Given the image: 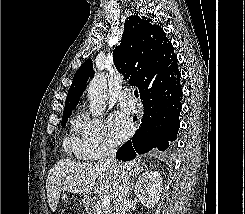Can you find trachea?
I'll use <instances>...</instances> for the list:
<instances>
[{"label":"trachea","mask_w":245,"mask_h":214,"mask_svg":"<svg viewBox=\"0 0 245 214\" xmlns=\"http://www.w3.org/2000/svg\"><path fill=\"white\" fill-rule=\"evenodd\" d=\"M134 96H135L136 98H138L139 95H138V91H137V90L134 91Z\"/></svg>","instance_id":"obj_1"}]
</instances>
